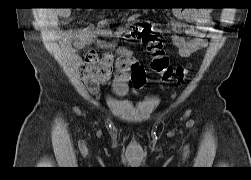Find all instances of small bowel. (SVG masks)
Returning a JSON list of instances; mask_svg holds the SVG:
<instances>
[{
	"label": "small bowel",
	"mask_w": 251,
	"mask_h": 180,
	"mask_svg": "<svg viewBox=\"0 0 251 180\" xmlns=\"http://www.w3.org/2000/svg\"><path fill=\"white\" fill-rule=\"evenodd\" d=\"M70 13L68 8L48 11L49 24L57 26L59 20L69 17ZM174 15L176 21L171 24L173 31L171 40L179 55L188 58L206 46L204 36L211 22L210 11L205 8H177L174 10ZM138 17V14H132L128 22H134ZM122 33V28L113 30L105 22H100L97 28L86 27L60 32L59 39L63 49L77 62L80 61L78 50L86 46L94 44L106 52L101 57L95 51L88 52L79 67L81 77L92 93H97L99 87L107 83L112 76H114L112 89L119 97L127 93L129 83L138 88L145 84L144 69L132 58L130 50L118 47L112 41ZM181 33H186L188 37L180 35Z\"/></svg>",
	"instance_id": "1"
}]
</instances>
